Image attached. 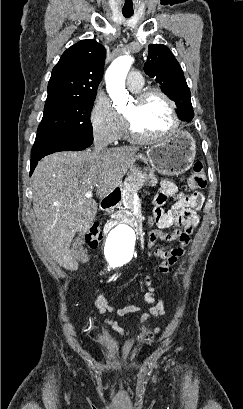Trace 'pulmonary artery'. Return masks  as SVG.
<instances>
[{
	"label": "pulmonary artery",
	"mask_w": 243,
	"mask_h": 409,
	"mask_svg": "<svg viewBox=\"0 0 243 409\" xmlns=\"http://www.w3.org/2000/svg\"><path fill=\"white\" fill-rule=\"evenodd\" d=\"M144 80L140 72L131 71L127 76V85L131 90H137L143 86Z\"/></svg>",
	"instance_id": "1"
}]
</instances>
